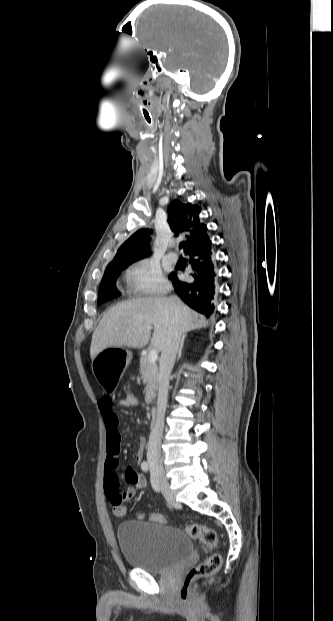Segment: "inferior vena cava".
<instances>
[{"instance_id": "obj_1", "label": "inferior vena cava", "mask_w": 333, "mask_h": 621, "mask_svg": "<svg viewBox=\"0 0 333 621\" xmlns=\"http://www.w3.org/2000/svg\"><path fill=\"white\" fill-rule=\"evenodd\" d=\"M170 301L174 309L177 311L179 309L180 301L177 298H171ZM182 333L183 332L178 325L176 316L172 317V322L165 339L159 362L160 371L159 390L157 398V418L149 437L147 451V461L149 464H162L161 440L164 429L165 412L167 408L169 377L174 367L176 355L178 353L181 343Z\"/></svg>"}]
</instances>
